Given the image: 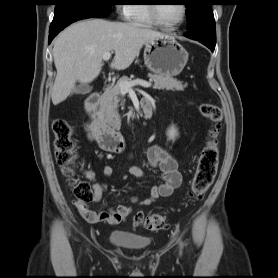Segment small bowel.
I'll use <instances>...</instances> for the list:
<instances>
[{"mask_svg":"<svg viewBox=\"0 0 278 278\" xmlns=\"http://www.w3.org/2000/svg\"><path fill=\"white\" fill-rule=\"evenodd\" d=\"M148 159L150 164L161 173L163 182L152 186L147 197L143 199L132 198L133 203H139L140 205H150L159 198L171 196L182 183V175L178 169L177 160L164 148L159 145L151 146L148 150ZM103 173L105 178H108L112 174V168L108 165L104 166ZM129 173L139 179L144 177V172L139 166H131ZM89 178L93 179V174L90 173ZM106 187L105 182L93 183V200L95 202L101 201ZM75 206L79 213L90 223L106 222L117 225L125 221L131 212V207L123 204L100 212L90 210L87 205L76 202Z\"/></svg>","mask_w":278,"mask_h":278,"instance_id":"1","label":"small bowel"}]
</instances>
